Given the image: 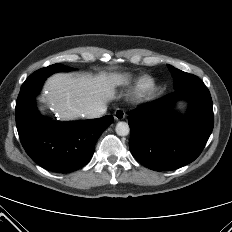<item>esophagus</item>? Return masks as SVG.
<instances>
[{
	"instance_id": "obj_1",
	"label": "esophagus",
	"mask_w": 232,
	"mask_h": 232,
	"mask_svg": "<svg viewBox=\"0 0 232 232\" xmlns=\"http://www.w3.org/2000/svg\"><path fill=\"white\" fill-rule=\"evenodd\" d=\"M125 116H126V113H125V111H124L123 109H121V108H117V109L115 110V112H114V118H115L116 120H122V119L125 118Z\"/></svg>"
}]
</instances>
